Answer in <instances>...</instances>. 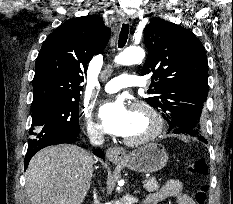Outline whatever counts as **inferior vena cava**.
<instances>
[{"label":"inferior vena cava","instance_id":"obj_1","mask_svg":"<svg viewBox=\"0 0 233 204\" xmlns=\"http://www.w3.org/2000/svg\"><path fill=\"white\" fill-rule=\"evenodd\" d=\"M90 140L94 145H102L104 143L103 133L95 131L90 135Z\"/></svg>","mask_w":233,"mask_h":204}]
</instances>
